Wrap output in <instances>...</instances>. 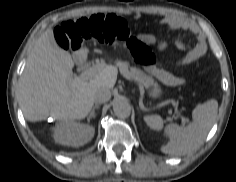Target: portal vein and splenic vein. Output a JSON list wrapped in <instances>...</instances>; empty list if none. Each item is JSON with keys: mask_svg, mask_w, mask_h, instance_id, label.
<instances>
[{"mask_svg": "<svg viewBox=\"0 0 236 182\" xmlns=\"http://www.w3.org/2000/svg\"><path fill=\"white\" fill-rule=\"evenodd\" d=\"M104 68L101 65H93L92 67H89L88 69L84 70L81 73V77L85 79L92 78L96 76L98 73H100ZM175 112L179 115L178 109L175 107ZM182 121L185 122V118L181 116Z\"/></svg>", "mask_w": 236, "mask_h": 182, "instance_id": "portal-vein-and-splenic-vein-1", "label": "portal vein and splenic vein"}]
</instances>
